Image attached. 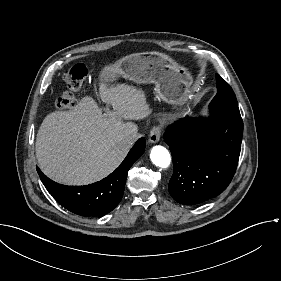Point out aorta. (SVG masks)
<instances>
[{"mask_svg":"<svg viewBox=\"0 0 281 281\" xmlns=\"http://www.w3.org/2000/svg\"><path fill=\"white\" fill-rule=\"evenodd\" d=\"M150 158L152 163L160 168H167L171 163L168 150L160 145H156L151 149Z\"/></svg>","mask_w":281,"mask_h":281,"instance_id":"1","label":"aorta"}]
</instances>
